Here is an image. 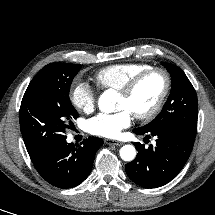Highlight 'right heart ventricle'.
Returning a JSON list of instances; mask_svg holds the SVG:
<instances>
[{
    "label": "right heart ventricle",
    "mask_w": 215,
    "mask_h": 215,
    "mask_svg": "<svg viewBox=\"0 0 215 215\" xmlns=\"http://www.w3.org/2000/svg\"><path fill=\"white\" fill-rule=\"evenodd\" d=\"M151 66L145 63H120L106 66L95 73L96 84L119 91L129 80Z\"/></svg>",
    "instance_id": "e07e8e85"
}]
</instances>
